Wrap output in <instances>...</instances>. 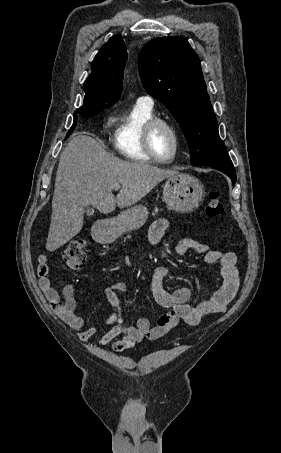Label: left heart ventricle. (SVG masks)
Wrapping results in <instances>:
<instances>
[{
    "instance_id": "left-heart-ventricle-1",
    "label": "left heart ventricle",
    "mask_w": 281,
    "mask_h": 453,
    "mask_svg": "<svg viewBox=\"0 0 281 453\" xmlns=\"http://www.w3.org/2000/svg\"><path fill=\"white\" fill-rule=\"evenodd\" d=\"M173 139L169 132L165 129H160L155 138V149L157 154L168 159L172 155Z\"/></svg>"
}]
</instances>
